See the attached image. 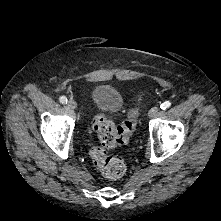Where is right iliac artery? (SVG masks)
Segmentation results:
<instances>
[{
  "label": "right iliac artery",
  "instance_id": "1",
  "mask_svg": "<svg viewBox=\"0 0 221 221\" xmlns=\"http://www.w3.org/2000/svg\"><path fill=\"white\" fill-rule=\"evenodd\" d=\"M59 101L62 103V104H66L67 103V98L65 96H61L59 98Z\"/></svg>",
  "mask_w": 221,
  "mask_h": 221
}]
</instances>
